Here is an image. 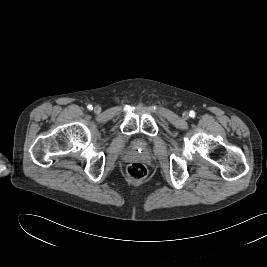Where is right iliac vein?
Returning a JSON list of instances; mask_svg holds the SVG:
<instances>
[{
    "mask_svg": "<svg viewBox=\"0 0 267 267\" xmlns=\"http://www.w3.org/2000/svg\"><path fill=\"white\" fill-rule=\"evenodd\" d=\"M101 111V107L99 105L94 107V112L99 113Z\"/></svg>",
    "mask_w": 267,
    "mask_h": 267,
    "instance_id": "63e3f726",
    "label": "right iliac vein"
}]
</instances>
